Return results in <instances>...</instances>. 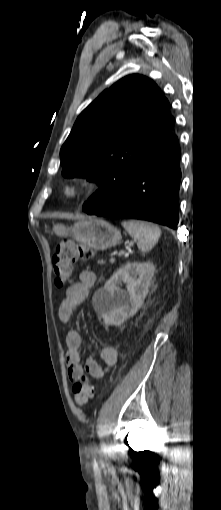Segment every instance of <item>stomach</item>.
<instances>
[{"label":"stomach","instance_id":"0dacf381","mask_svg":"<svg viewBox=\"0 0 221 510\" xmlns=\"http://www.w3.org/2000/svg\"><path fill=\"white\" fill-rule=\"evenodd\" d=\"M53 232L61 237L70 235L77 242L99 251L116 246L122 239L119 229L107 221L94 218L78 221L71 227L54 225Z\"/></svg>","mask_w":221,"mask_h":510}]
</instances>
